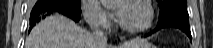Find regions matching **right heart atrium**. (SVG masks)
Listing matches in <instances>:
<instances>
[{
    "label": "right heart atrium",
    "instance_id": "1",
    "mask_svg": "<svg viewBox=\"0 0 213 48\" xmlns=\"http://www.w3.org/2000/svg\"><path fill=\"white\" fill-rule=\"evenodd\" d=\"M86 21L94 28L104 29L111 22V15L96 0H85L82 3Z\"/></svg>",
    "mask_w": 213,
    "mask_h": 48
}]
</instances>
